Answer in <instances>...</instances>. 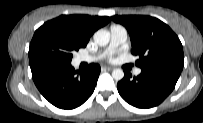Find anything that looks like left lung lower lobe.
Masks as SVG:
<instances>
[{"instance_id":"1","label":"left lung lower lobe","mask_w":203,"mask_h":123,"mask_svg":"<svg viewBox=\"0 0 203 123\" xmlns=\"http://www.w3.org/2000/svg\"><path fill=\"white\" fill-rule=\"evenodd\" d=\"M181 72L169 69H141L133 77L124 70V78L117 88L121 97L137 108H151L159 105L174 89Z\"/></svg>"}]
</instances>
